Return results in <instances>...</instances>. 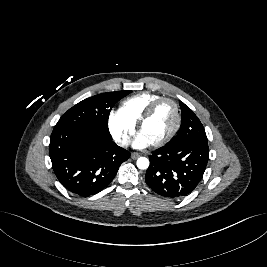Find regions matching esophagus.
I'll list each match as a JSON object with an SVG mask.
<instances>
[{
  "label": "esophagus",
  "instance_id": "1",
  "mask_svg": "<svg viewBox=\"0 0 267 267\" xmlns=\"http://www.w3.org/2000/svg\"><path fill=\"white\" fill-rule=\"evenodd\" d=\"M139 156L140 155L138 153H135V152L131 153V158L132 159H137Z\"/></svg>",
  "mask_w": 267,
  "mask_h": 267
}]
</instances>
